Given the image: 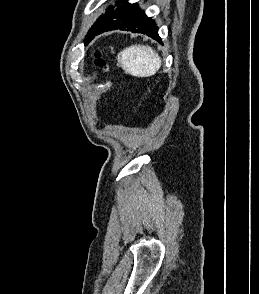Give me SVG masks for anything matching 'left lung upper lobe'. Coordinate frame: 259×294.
Wrapping results in <instances>:
<instances>
[{
    "label": "left lung upper lobe",
    "instance_id": "1",
    "mask_svg": "<svg viewBox=\"0 0 259 294\" xmlns=\"http://www.w3.org/2000/svg\"><path fill=\"white\" fill-rule=\"evenodd\" d=\"M126 1L121 0V2H116V6L121 5V3H125ZM114 10V7L111 6L108 8L105 14H102L99 19L94 23V25L91 27L89 32L87 33L86 39H85V44L89 43L93 37L97 29L102 25V23L106 20V18L111 14V12Z\"/></svg>",
    "mask_w": 259,
    "mask_h": 294
}]
</instances>
